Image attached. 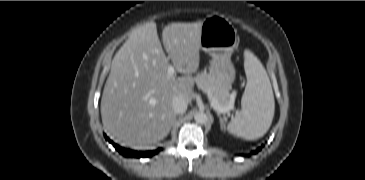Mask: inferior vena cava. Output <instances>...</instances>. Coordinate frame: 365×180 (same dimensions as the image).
<instances>
[{
    "mask_svg": "<svg viewBox=\"0 0 365 180\" xmlns=\"http://www.w3.org/2000/svg\"><path fill=\"white\" fill-rule=\"evenodd\" d=\"M187 102L181 96L172 99L173 110L176 114H183L187 110Z\"/></svg>",
    "mask_w": 365,
    "mask_h": 180,
    "instance_id": "obj_1",
    "label": "inferior vena cava"
}]
</instances>
